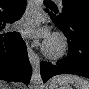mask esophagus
<instances>
[{
    "mask_svg": "<svg viewBox=\"0 0 89 89\" xmlns=\"http://www.w3.org/2000/svg\"><path fill=\"white\" fill-rule=\"evenodd\" d=\"M31 5H32V2L29 1L28 9H30ZM27 51H28V57H29V60H30V63L32 65L33 69H37L39 66V59L35 55L33 49L30 47V45H28Z\"/></svg>",
    "mask_w": 89,
    "mask_h": 89,
    "instance_id": "esophagus-1",
    "label": "esophagus"
}]
</instances>
